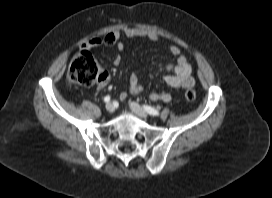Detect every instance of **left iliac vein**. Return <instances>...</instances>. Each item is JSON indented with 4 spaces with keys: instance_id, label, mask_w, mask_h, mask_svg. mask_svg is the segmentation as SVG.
I'll list each match as a JSON object with an SVG mask.
<instances>
[{
    "instance_id": "left-iliac-vein-1",
    "label": "left iliac vein",
    "mask_w": 272,
    "mask_h": 198,
    "mask_svg": "<svg viewBox=\"0 0 272 198\" xmlns=\"http://www.w3.org/2000/svg\"><path fill=\"white\" fill-rule=\"evenodd\" d=\"M129 107L139 117H141L143 119H147L148 118L147 112L139 104H137L135 102H131L129 104Z\"/></svg>"
}]
</instances>
